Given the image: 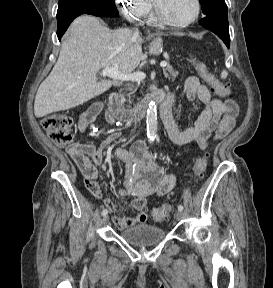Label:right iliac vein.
I'll use <instances>...</instances> for the list:
<instances>
[{"mask_svg":"<svg viewBox=\"0 0 273 288\" xmlns=\"http://www.w3.org/2000/svg\"><path fill=\"white\" fill-rule=\"evenodd\" d=\"M108 221H109V216H108V215H105V216L103 217V219H102L103 225H106V224L108 223Z\"/></svg>","mask_w":273,"mask_h":288,"instance_id":"63e3f726","label":"right iliac vein"}]
</instances>
